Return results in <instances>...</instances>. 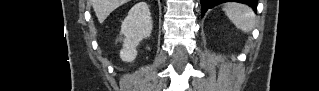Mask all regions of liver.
Listing matches in <instances>:
<instances>
[{"instance_id":"obj_1","label":"liver","mask_w":319,"mask_h":91,"mask_svg":"<svg viewBox=\"0 0 319 91\" xmlns=\"http://www.w3.org/2000/svg\"><path fill=\"white\" fill-rule=\"evenodd\" d=\"M127 2L128 0H90L100 23H103L116 8Z\"/></svg>"}]
</instances>
